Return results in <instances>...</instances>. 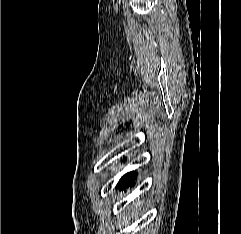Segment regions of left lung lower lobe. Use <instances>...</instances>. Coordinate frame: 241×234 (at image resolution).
<instances>
[{
	"label": "left lung lower lobe",
	"instance_id": "1",
	"mask_svg": "<svg viewBox=\"0 0 241 234\" xmlns=\"http://www.w3.org/2000/svg\"><path fill=\"white\" fill-rule=\"evenodd\" d=\"M135 177H136L135 172L127 173L119 181L117 188H119V190H124L127 186H133L135 184V182H134Z\"/></svg>",
	"mask_w": 241,
	"mask_h": 234
}]
</instances>
